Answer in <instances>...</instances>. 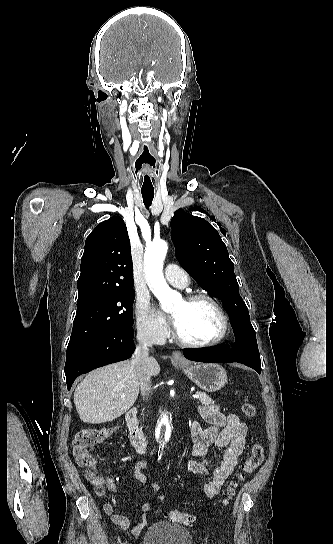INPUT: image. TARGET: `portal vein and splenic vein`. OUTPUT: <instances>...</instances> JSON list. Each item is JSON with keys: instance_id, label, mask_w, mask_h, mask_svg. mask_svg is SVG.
<instances>
[{"instance_id": "18ae733b", "label": "portal vein and splenic vein", "mask_w": 333, "mask_h": 544, "mask_svg": "<svg viewBox=\"0 0 333 544\" xmlns=\"http://www.w3.org/2000/svg\"><path fill=\"white\" fill-rule=\"evenodd\" d=\"M121 397L124 398L125 395H121ZM192 397H193L194 399H198V398H200V395H199L198 393H196V394H193Z\"/></svg>"}]
</instances>
